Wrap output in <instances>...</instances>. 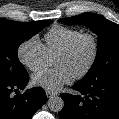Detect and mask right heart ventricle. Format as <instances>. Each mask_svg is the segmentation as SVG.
<instances>
[{"label": "right heart ventricle", "mask_w": 119, "mask_h": 119, "mask_svg": "<svg viewBox=\"0 0 119 119\" xmlns=\"http://www.w3.org/2000/svg\"><path fill=\"white\" fill-rule=\"evenodd\" d=\"M81 31L75 28L57 25L44 36L45 48L49 56L56 55Z\"/></svg>", "instance_id": "e07e8e85"}]
</instances>
